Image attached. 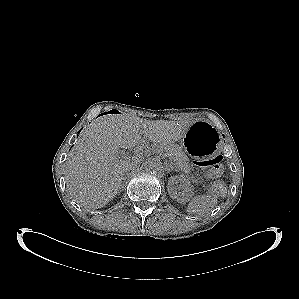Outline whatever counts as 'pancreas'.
Here are the masks:
<instances>
[{
  "label": "pancreas",
  "mask_w": 299,
  "mask_h": 299,
  "mask_svg": "<svg viewBox=\"0 0 299 299\" xmlns=\"http://www.w3.org/2000/svg\"><path fill=\"white\" fill-rule=\"evenodd\" d=\"M164 149L166 152L170 153L172 156V160L175 162L174 165L177 169L182 170L185 173L190 172V165H189V159L185 152L182 151V149L176 145V144H170L164 146ZM193 182H197V180L192 179Z\"/></svg>",
  "instance_id": "obj_1"
}]
</instances>
